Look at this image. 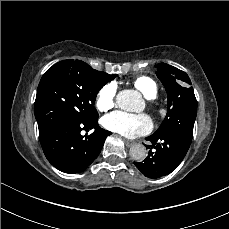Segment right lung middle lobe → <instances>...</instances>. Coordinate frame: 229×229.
<instances>
[{"mask_svg": "<svg viewBox=\"0 0 229 229\" xmlns=\"http://www.w3.org/2000/svg\"><path fill=\"white\" fill-rule=\"evenodd\" d=\"M103 86L84 63L70 59L53 65L42 76L34 103L39 138L64 120L97 121L94 103Z\"/></svg>", "mask_w": 229, "mask_h": 229, "instance_id": "1", "label": "right lung middle lobe"}]
</instances>
